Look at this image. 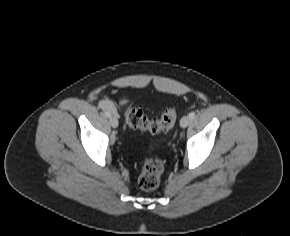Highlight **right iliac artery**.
<instances>
[{"label": "right iliac artery", "instance_id": "82829eb1", "mask_svg": "<svg viewBox=\"0 0 290 236\" xmlns=\"http://www.w3.org/2000/svg\"><path fill=\"white\" fill-rule=\"evenodd\" d=\"M104 113H105V115H106L107 117H110V116H111V113H110L109 111H105Z\"/></svg>", "mask_w": 290, "mask_h": 236}]
</instances>
